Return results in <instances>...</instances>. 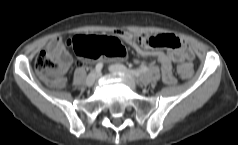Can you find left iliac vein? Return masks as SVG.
<instances>
[{"label": "left iliac vein", "mask_w": 238, "mask_h": 145, "mask_svg": "<svg viewBox=\"0 0 238 145\" xmlns=\"http://www.w3.org/2000/svg\"><path fill=\"white\" fill-rule=\"evenodd\" d=\"M109 71L113 74H121L126 79L130 87L136 88L140 86L139 80H137L133 74L121 64H113L109 66Z\"/></svg>", "instance_id": "1"}]
</instances>
